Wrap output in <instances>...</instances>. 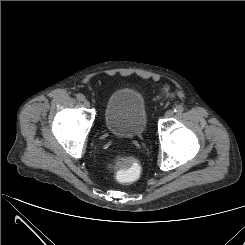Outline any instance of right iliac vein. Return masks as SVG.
Returning <instances> with one entry per match:
<instances>
[{
    "mask_svg": "<svg viewBox=\"0 0 245 245\" xmlns=\"http://www.w3.org/2000/svg\"><path fill=\"white\" fill-rule=\"evenodd\" d=\"M84 105H85V107H90V103H89V101L84 100Z\"/></svg>",
    "mask_w": 245,
    "mask_h": 245,
    "instance_id": "1",
    "label": "right iliac vein"
}]
</instances>
